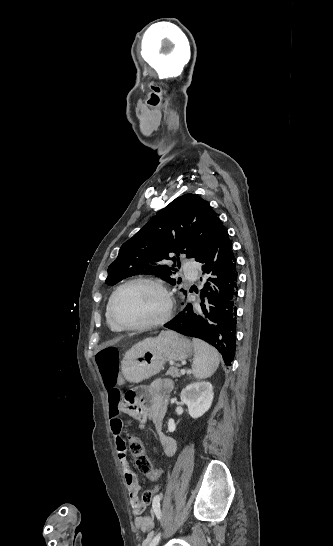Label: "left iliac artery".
Here are the masks:
<instances>
[{
	"label": "left iliac artery",
	"instance_id": "obj_1",
	"mask_svg": "<svg viewBox=\"0 0 333 546\" xmlns=\"http://www.w3.org/2000/svg\"><path fill=\"white\" fill-rule=\"evenodd\" d=\"M159 519H160V516H159ZM160 536L161 534L158 533L157 535L154 536V538L152 539V541L150 542L149 546H156L160 540Z\"/></svg>",
	"mask_w": 333,
	"mask_h": 546
}]
</instances>
